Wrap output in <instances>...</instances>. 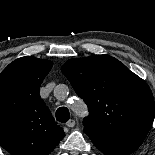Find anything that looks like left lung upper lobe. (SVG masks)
Wrapping results in <instances>:
<instances>
[{
	"mask_svg": "<svg viewBox=\"0 0 155 155\" xmlns=\"http://www.w3.org/2000/svg\"><path fill=\"white\" fill-rule=\"evenodd\" d=\"M88 106L84 132L90 139L145 133L155 117L147 83L109 55L74 58L61 68Z\"/></svg>",
	"mask_w": 155,
	"mask_h": 155,
	"instance_id": "5c2ea615",
	"label": "left lung upper lobe"
}]
</instances>
